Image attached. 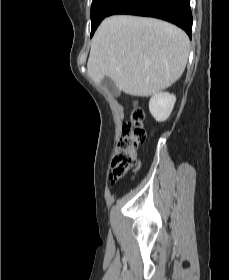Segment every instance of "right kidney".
<instances>
[{"mask_svg": "<svg viewBox=\"0 0 229 280\" xmlns=\"http://www.w3.org/2000/svg\"><path fill=\"white\" fill-rule=\"evenodd\" d=\"M176 97L167 92H160L153 95L149 102V110L151 115L158 122L167 120L173 110Z\"/></svg>", "mask_w": 229, "mask_h": 280, "instance_id": "right-kidney-1", "label": "right kidney"}]
</instances>
